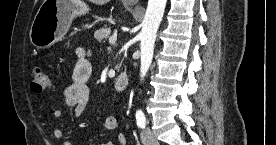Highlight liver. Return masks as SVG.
<instances>
[{"instance_id": "obj_1", "label": "liver", "mask_w": 276, "mask_h": 145, "mask_svg": "<svg viewBox=\"0 0 276 145\" xmlns=\"http://www.w3.org/2000/svg\"><path fill=\"white\" fill-rule=\"evenodd\" d=\"M90 2L96 4V5H104L106 4L109 0H89Z\"/></svg>"}]
</instances>
